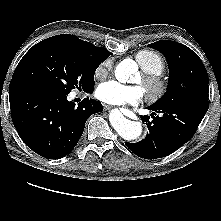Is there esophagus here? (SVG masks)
I'll return each instance as SVG.
<instances>
[{
	"instance_id": "obj_1",
	"label": "esophagus",
	"mask_w": 221,
	"mask_h": 221,
	"mask_svg": "<svg viewBox=\"0 0 221 221\" xmlns=\"http://www.w3.org/2000/svg\"><path fill=\"white\" fill-rule=\"evenodd\" d=\"M104 109H105V110H109V109H111V106H109V105H104Z\"/></svg>"
}]
</instances>
